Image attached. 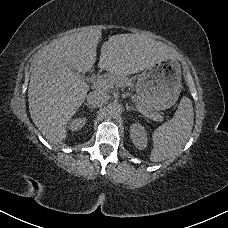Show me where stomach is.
Wrapping results in <instances>:
<instances>
[{
    "instance_id": "obj_1",
    "label": "stomach",
    "mask_w": 228,
    "mask_h": 228,
    "mask_svg": "<svg viewBox=\"0 0 228 228\" xmlns=\"http://www.w3.org/2000/svg\"><path fill=\"white\" fill-rule=\"evenodd\" d=\"M181 89V65L176 59L158 62L137 77V99L144 102L150 111L172 107Z\"/></svg>"
}]
</instances>
